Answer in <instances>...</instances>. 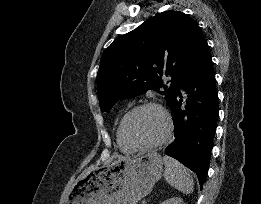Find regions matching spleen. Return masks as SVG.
<instances>
[{"instance_id":"spleen-1","label":"spleen","mask_w":261,"mask_h":204,"mask_svg":"<svg viewBox=\"0 0 261 204\" xmlns=\"http://www.w3.org/2000/svg\"><path fill=\"white\" fill-rule=\"evenodd\" d=\"M163 161L165 164L164 177L166 181L178 191L184 194H191L194 190V182L186 167L168 156H165Z\"/></svg>"}]
</instances>
